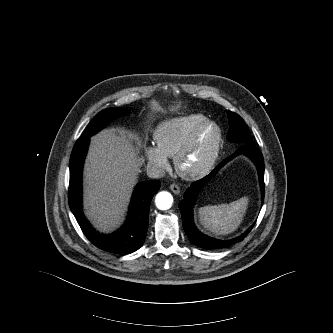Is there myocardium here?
<instances>
[{"instance_id":"f54148a6","label":"myocardium","mask_w":333,"mask_h":333,"mask_svg":"<svg viewBox=\"0 0 333 333\" xmlns=\"http://www.w3.org/2000/svg\"><path fill=\"white\" fill-rule=\"evenodd\" d=\"M214 127L216 131L214 142L209 150L205 159L198 166L194 168H187L186 163L196 148L199 139L203 132L210 128ZM223 140V133L221 127L214 121L207 120L201 124L192 134L188 142L181 148V150L176 154L174 158L175 167L180 176L187 180H196L205 176L215 165Z\"/></svg>"}]
</instances>
